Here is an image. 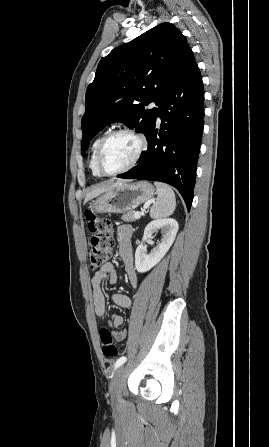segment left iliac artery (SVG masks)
Instances as JSON below:
<instances>
[{"instance_id":"44dca946","label":"left iliac artery","mask_w":269,"mask_h":447,"mask_svg":"<svg viewBox=\"0 0 269 447\" xmlns=\"http://www.w3.org/2000/svg\"><path fill=\"white\" fill-rule=\"evenodd\" d=\"M126 360H127L126 357H124V356H123V357H120V358L116 361L114 368L117 369L119 366H121L122 364H124V363L126 362Z\"/></svg>"}]
</instances>
